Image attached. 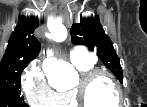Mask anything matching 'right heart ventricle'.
<instances>
[{
  "mask_svg": "<svg viewBox=\"0 0 147 107\" xmlns=\"http://www.w3.org/2000/svg\"><path fill=\"white\" fill-rule=\"evenodd\" d=\"M76 68L82 73L86 74L95 68V62L85 64H75ZM57 105L62 107H78L76 99L72 90L57 94Z\"/></svg>",
  "mask_w": 147,
  "mask_h": 107,
  "instance_id": "e07e8e85",
  "label": "right heart ventricle"
}]
</instances>
